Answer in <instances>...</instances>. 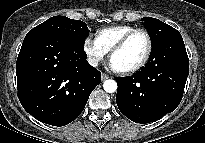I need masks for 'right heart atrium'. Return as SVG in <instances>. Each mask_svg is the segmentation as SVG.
<instances>
[{
	"label": "right heart atrium",
	"mask_w": 205,
	"mask_h": 143,
	"mask_svg": "<svg viewBox=\"0 0 205 143\" xmlns=\"http://www.w3.org/2000/svg\"><path fill=\"white\" fill-rule=\"evenodd\" d=\"M83 50L88 62L92 66H98L107 56V51L100 43L91 37H87L83 42Z\"/></svg>",
	"instance_id": "obj_1"
}]
</instances>
